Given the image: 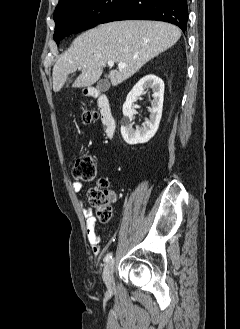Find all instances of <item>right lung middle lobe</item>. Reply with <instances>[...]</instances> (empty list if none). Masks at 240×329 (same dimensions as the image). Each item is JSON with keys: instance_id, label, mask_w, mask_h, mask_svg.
<instances>
[{"instance_id": "dd1d6c3e", "label": "right lung middle lobe", "mask_w": 240, "mask_h": 329, "mask_svg": "<svg viewBox=\"0 0 240 329\" xmlns=\"http://www.w3.org/2000/svg\"><path fill=\"white\" fill-rule=\"evenodd\" d=\"M125 0H70L54 12V40L84 31L101 23Z\"/></svg>"}]
</instances>
